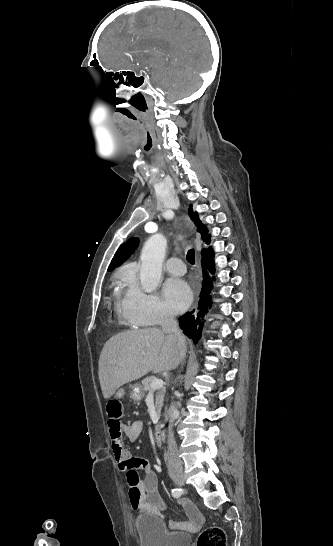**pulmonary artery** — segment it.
I'll return each mask as SVG.
<instances>
[{
	"label": "pulmonary artery",
	"mask_w": 333,
	"mask_h": 546,
	"mask_svg": "<svg viewBox=\"0 0 333 546\" xmlns=\"http://www.w3.org/2000/svg\"><path fill=\"white\" fill-rule=\"evenodd\" d=\"M164 269L174 275H182L186 271L183 261L177 257L167 259L164 264Z\"/></svg>",
	"instance_id": "e3ab8cb5"
}]
</instances>
